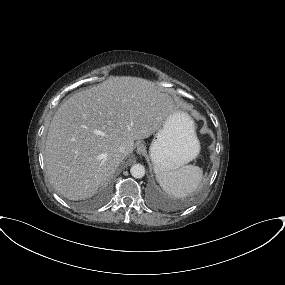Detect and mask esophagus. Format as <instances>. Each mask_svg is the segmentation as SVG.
Masks as SVG:
<instances>
[{"instance_id":"34e87169","label":"esophagus","mask_w":285,"mask_h":285,"mask_svg":"<svg viewBox=\"0 0 285 285\" xmlns=\"http://www.w3.org/2000/svg\"><path fill=\"white\" fill-rule=\"evenodd\" d=\"M145 145L144 144H138L137 145V148H136V152L139 154V155H142V154H144V152H145Z\"/></svg>"}]
</instances>
